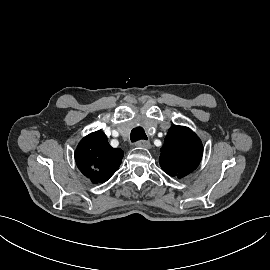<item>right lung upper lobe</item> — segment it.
Returning a JSON list of instances; mask_svg holds the SVG:
<instances>
[{"label":"right lung upper lobe","mask_w":270,"mask_h":270,"mask_svg":"<svg viewBox=\"0 0 270 270\" xmlns=\"http://www.w3.org/2000/svg\"><path fill=\"white\" fill-rule=\"evenodd\" d=\"M123 151L112 148L102 131L84 137L75 151L79 170L95 184L107 181L119 168Z\"/></svg>","instance_id":"obj_1"}]
</instances>
